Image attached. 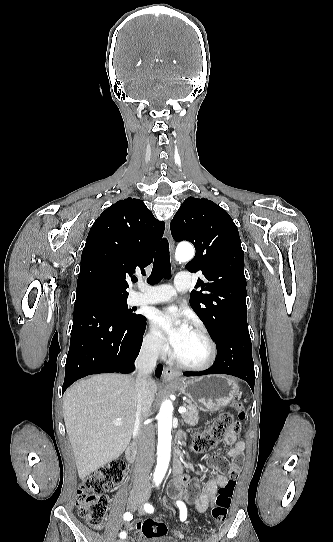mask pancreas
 <instances>
[{
	"label": "pancreas",
	"mask_w": 333,
	"mask_h": 542,
	"mask_svg": "<svg viewBox=\"0 0 333 542\" xmlns=\"http://www.w3.org/2000/svg\"><path fill=\"white\" fill-rule=\"evenodd\" d=\"M183 406L187 408L186 414H182L183 422L189 424V426H196L199 422V412L196 406L192 402H188V400L184 402Z\"/></svg>",
	"instance_id": "1"
}]
</instances>
